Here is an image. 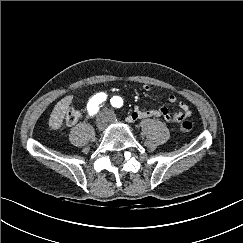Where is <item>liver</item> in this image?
<instances>
[{
	"instance_id": "liver-1",
	"label": "liver",
	"mask_w": 243,
	"mask_h": 243,
	"mask_svg": "<svg viewBox=\"0 0 243 243\" xmlns=\"http://www.w3.org/2000/svg\"><path fill=\"white\" fill-rule=\"evenodd\" d=\"M72 99V95L66 96L54 106L49 118V126L52 129L57 130L61 127L64 116L69 109Z\"/></svg>"
}]
</instances>
